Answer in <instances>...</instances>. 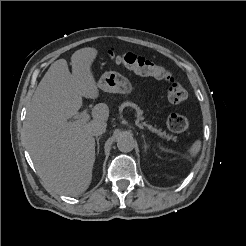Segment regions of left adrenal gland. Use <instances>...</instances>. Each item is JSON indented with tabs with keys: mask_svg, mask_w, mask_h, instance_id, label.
Masks as SVG:
<instances>
[{
	"mask_svg": "<svg viewBox=\"0 0 246 246\" xmlns=\"http://www.w3.org/2000/svg\"><path fill=\"white\" fill-rule=\"evenodd\" d=\"M142 137H143V140H144V148H145V150H147V143L145 141L144 135H142Z\"/></svg>",
	"mask_w": 246,
	"mask_h": 246,
	"instance_id": "obj_1",
	"label": "left adrenal gland"
}]
</instances>
